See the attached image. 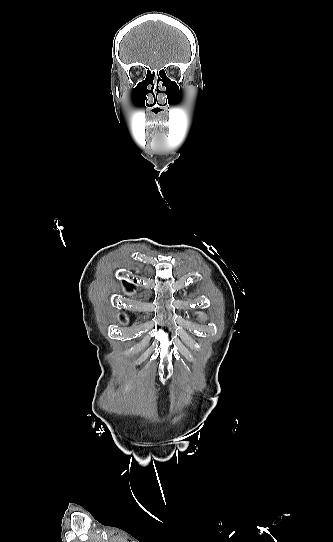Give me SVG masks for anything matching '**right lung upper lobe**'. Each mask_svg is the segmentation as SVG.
I'll use <instances>...</instances> for the list:
<instances>
[{
  "mask_svg": "<svg viewBox=\"0 0 333 542\" xmlns=\"http://www.w3.org/2000/svg\"><path fill=\"white\" fill-rule=\"evenodd\" d=\"M125 285L127 286V288H130L131 286L127 283V282H124Z\"/></svg>",
  "mask_w": 333,
  "mask_h": 542,
  "instance_id": "right-lung-upper-lobe-1",
  "label": "right lung upper lobe"
}]
</instances>
